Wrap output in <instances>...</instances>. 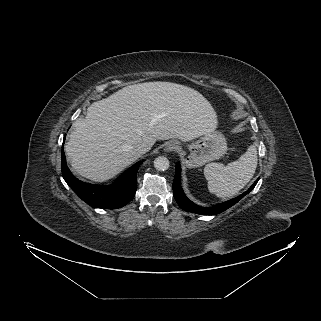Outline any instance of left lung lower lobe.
<instances>
[{
  "instance_id": "obj_1",
  "label": "left lung lower lobe",
  "mask_w": 321,
  "mask_h": 321,
  "mask_svg": "<svg viewBox=\"0 0 321 321\" xmlns=\"http://www.w3.org/2000/svg\"><path fill=\"white\" fill-rule=\"evenodd\" d=\"M180 171H181L180 165L177 164L175 177L173 181V196L177 201L178 205L181 207V209L188 212H193V213L202 214V215H215L225 211L226 209L236 204L240 199H242L249 192H251L258 182V180H256L246 192L237 196L236 198L217 204L213 207H200L195 203H193L192 201H190L184 194L180 184Z\"/></svg>"
}]
</instances>
